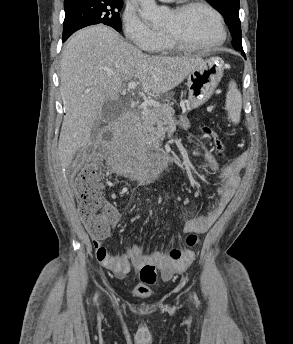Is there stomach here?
<instances>
[{"label": "stomach", "instance_id": "1", "mask_svg": "<svg viewBox=\"0 0 293 344\" xmlns=\"http://www.w3.org/2000/svg\"><path fill=\"white\" fill-rule=\"evenodd\" d=\"M223 61L212 57L190 72L187 79L188 99L191 109L197 108L210 99L223 76Z\"/></svg>", "mask_w": 293, "mask_h": 344}]
</instances>
